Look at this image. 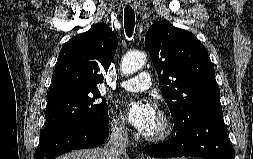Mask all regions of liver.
Segmentation results:
<instances>
[{"instance_id":"liver-1","label":"liver","mask_w":253,"mask_h":159,"mask_svg":"<svg viewBox=\"0 0 253 159\" xmlns=\"http://www.w3.org/2000/svg\"><path fill=\"white\" fill-rule=\"evenodd\" d=\"M56 159H107V153L105 147L92 148L72 151ZM122 159H129V157L124 155Z\"/></svg>"}]
</instances>
